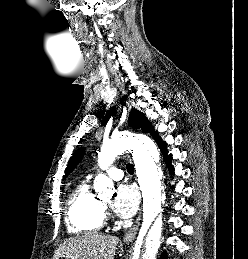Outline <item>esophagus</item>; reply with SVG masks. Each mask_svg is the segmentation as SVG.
<instances>
[{"instance_id":"esophagus-1","label":"esophagus","mask_w":248,"mask_h":259,"mask_svg":"<svg viewBox=\"0 0 248 259\" xmlns=\"http://www.w3.org/2000/svg\"><path fill=\"white\" fill-rule=\"evenodd\" d=\"M140 221H141V212H139V215L136 218L133 226L123 236V242L124 243L132 242L135 239L136 234H137L138 229H139Z\"/></svg>"}]
</instances>
